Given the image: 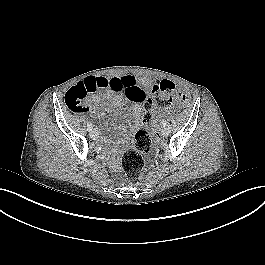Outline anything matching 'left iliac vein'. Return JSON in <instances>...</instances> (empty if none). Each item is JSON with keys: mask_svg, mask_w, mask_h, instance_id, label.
<instances>
[{"mask_svg": "<svg viewBox=\"0 0 265 265\" xmlns=\"http://www.w3.org/2000/svg\"><path fill=\"white\" fill-rule=\"evenodd\" d=\"M161 135L163 137H167L169 135V129L167 127H163L161 130Z\"/></svg>", "mask_w": 265, "mask_h": 265, "instance_id": "obj_1", "label": "left iliac vein"}]
</instances>
